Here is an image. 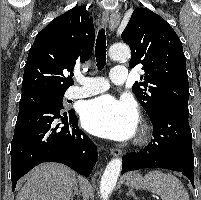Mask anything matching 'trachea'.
Masks as SVG:
<instances>
[{"label":"trachea","mask_w":201,"mask_h":200,"mask_svg":"<svg viewBox=\"0 0 201 200\" xmlns=\"http://www.w3.org/2000/svg\"><path fill=\"white\" fill-rule=\"evenodd\" d=\"M106 35L104 28H101L97 35L95 46L96 66L101 69L106 64Z\"/></svg>","instance_id":"1"}]
</instances>
